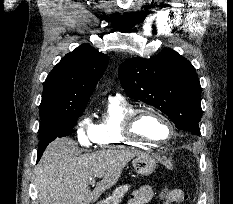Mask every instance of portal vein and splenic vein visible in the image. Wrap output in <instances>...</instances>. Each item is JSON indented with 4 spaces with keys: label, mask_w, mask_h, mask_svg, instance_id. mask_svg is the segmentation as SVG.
<instances>
[{
    "label": "portal vein and splenic vein",
    "mask_w": 233,
    "mask_h": 204,
    "mask_svg": "<svg viewBox=\"0 0 233 204\" xmlns=\"http://www.w3.org/2000/svg\"><path fill=\"white\" fill-rule=\"evenodd\" d=\"M90 185H92V186H94L95 185V180L94 179H92V180H90Z\"/></svg>",
    "instance_id": "portal-vein-and-splenic-vein-1"
}]
</instances>
